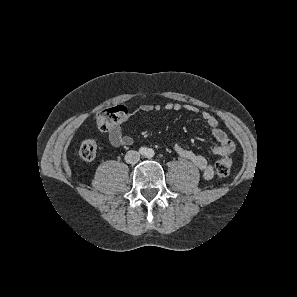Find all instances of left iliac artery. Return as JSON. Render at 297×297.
<instances>
[{"label":"left iliac artery","instance_id":"1","mask_svg":"<svg viewBox=\"0 0 297 297\" xmlns=\"http://www.w3.org/2000/svg\"><path fill=\"white\" fill-rule=\"evenodd\" d=\"M154 152L152 150H149L148 155L151 157L153 156Z\"/></svg>","mask_w":297,"mask_h":297}]
</instances>
